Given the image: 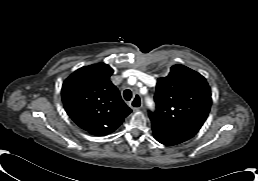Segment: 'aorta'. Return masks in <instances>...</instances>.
Wrapping results in <instances>:
<instances>
[{
  "label": "aorta",
  "mask_w": 258,
  "mask_h": 181,
  "mask_svg": "<svg viewBox=\"0 0 258 181\" xmlns=\"http://www.w3.org/2000/svg\"><path fill=\"white\" fill-rule=\"evenodd\" d=\"M148 104H149L150 106H152V102H151L150 100L148 101Z\"/></svg>",
  "instance_id": "1"
}]
</instances>
